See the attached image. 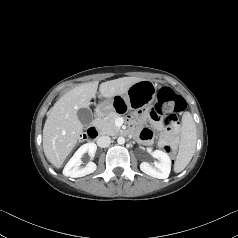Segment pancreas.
Here are the masks:
<instances>
[{
	"label": "pancreas",
	"mask_w": 238,
	"mask_h": 238,
	"mask_svg": "<svg viewBox=\"0 0 238 238\" xmlns=\"http://www.w3.org/2000/svg\"><path fill=\"white\" fill-rule=\"evenodd\" d=\"M117 117V113L110 112L105 117L96 119L94 121V126L102 134L114 136L120 132V129L115 125V120Z\"/></svg>",
	"instance_id": "pancreas-1"
}]
</instances>
